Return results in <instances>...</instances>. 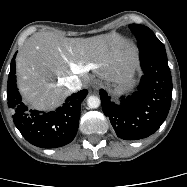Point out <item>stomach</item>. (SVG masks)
Wrapping results in <instances>:
<instances>
[{
	"mask_svg": "<svg viewBox=\"0 0 187 187\" xmlns=\"http://www.w3.org/2000/svg\"><path fill=\"white\" fill-rule=\"evenodd\" d=\"M136 83V79L133 74H131L124 82L114 85L115 93H124L131 90Z\"/></svg>",
	"mask_w": 187,
	"mask_h": 187,
	"instance_id": "0dacf381",
	"label": "stomach"
}]
</instances>
